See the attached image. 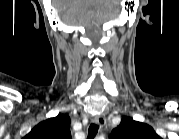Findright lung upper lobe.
Masks as SVG:
<instances>
[{"mask_svg":"<svg viewBox=\"0 0 179 139\" xmlns=\"http://www.w3.org/2000/svg\"><path fill=\"white\" fill-rule=\"evenodd\" d=\"M25 139H71L70 118L65 114L42 121Z\"/></svg>","mask_w":179,"mask_h":139,"instance_id":"1","label":"right lung upper lobe"}]
</instances>
